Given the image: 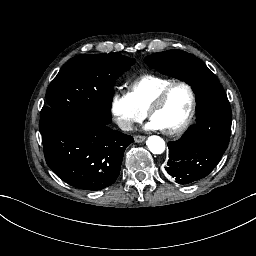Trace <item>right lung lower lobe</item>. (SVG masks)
<instances>
[{
	"mask_svg": "<svg viewBox=\"0 0 256 256\" xmlns=\"http://www.w3.org/2000/svg\"><path fill=\"white\" fill-rule=\"evenodd\" d=\"M42 134L48 166L67 184L101 190L115 182L126 147L133 138L103 124L84 122L81 129L61 125Z\"/></svg>",
	"mask_w": 256,
	"mask_h": 256,
	"instance_id": "98d812e1",
	"label": "right lung lower lobe"
}]
</instances>
